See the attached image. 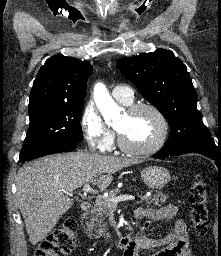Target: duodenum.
Returning a JSON list of instances; mask_svg holds the SVG:
<instances>
[{"instance_id":"duodenum-1","label":"duodenum","mask_w":221,"mask_h":256,"mask_svg":"<svg viewBox=\"0 0 221 256\" xmlns=\"http://www.w3.org/2000/svg\"><path fill=\"white\" fill-rule=\"evenodd\" d=\"M91 206H92V205H91L90 202L84 201V202L81 203L80 209H81V211H82L83 214H86V213H88V212L90 211ZM132 238H133V237L130 236V235H126V236L122 237V238L117 242L116 247H117L118 249H121V250H122V249H125V248L130 244Z\"/></svg>"}]
</instances>
